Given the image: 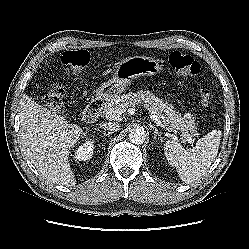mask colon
<instances>
[{
    "label": "colon",
    "mask_w": 249,
    "mask_h": 249,
    "mask_svg": "<svg viewBox=\"0 0 249 249\" xmlns=\"http://www.w3.org/2000/svg\"><path fill=\"white\" fill-rule=\"evenodd\" d=\"M59 61L67 70L72 73H78L83 70L90 61V55L85 50H67L60 54ZM168 62L170 67L177 74L192 78L201 73L200 64L191 56L180 52H172L169 55ZM65 92L60 84H54L42 97L44 106L54 112H61L64 108ZM200 103L207 106L210 102L211 91L208 88L199 90Z\"/></svg>",
    "instance_id": "colon-1"
}]
</instances>
